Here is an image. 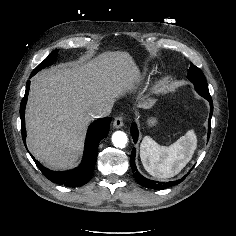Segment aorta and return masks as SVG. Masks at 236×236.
<instances>
[{"instance_id": "1", "label": "aorta", "mask_w": 236, "mask_h": 236, "mask_svg": "<svg viewBox=\"0 0 236 236\" xmlns=\"http://www.w3.org/2000/svg\"><path fill=\"white\" fill-rule=\"evenodd\" d=\"M112 142L115 147L125 148L128 142L127 135L122 131H116L112 135Z\"/></svg>"}]
</instances>
